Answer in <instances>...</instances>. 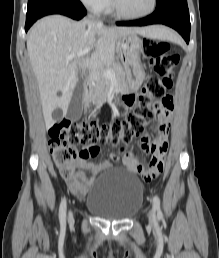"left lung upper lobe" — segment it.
<instances>
[{
    "label": "left lung upper lobe",
    "instance_id": "1",
    "mask_svg": "<svg viewBox=\"0 0 219 258\" xmlns=\"http://www.w3.org/2000/svg\"><path fill=\"white\" fill-rule=\"evenodd\" d=\"M187 0H157L156 9L170 2H186Z\"/></svg>",
    "mask_w": 219,
    "mask_h": 258
}]
</instances>
